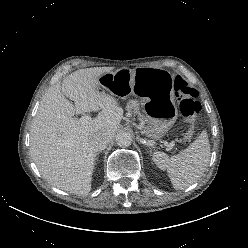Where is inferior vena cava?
I'll return each instance as SVG.
<instances>
[{
  "instance_id": "602c4592",
  "label": "inferior vena cava",
  "mask_w": 248,
  "mask_h": 248,
  "mask_svg": "<svg viewBox=\"0 0 248 248\" xmlns=\"http://www.w3.org/2000/svg\"><path fill=\"white\" fill-rule=\"evenodd\" d=\"M110 140L111 137L108 134L98 133L92 138L91 144L95 151H102L107 147Z\"/></svg>"
}]
</instances>
